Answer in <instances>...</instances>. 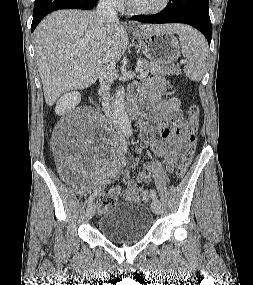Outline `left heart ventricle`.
<instances>
[{"instance_id":"b2bd125f","label":"left heart ventricle","mask_w":253,"mask_h":285,"mask_svg":"<svg viewBox=\"0 0 253 285\" xmlns=\"http://www.w3.org/2000/svg\"><path fill=\"white\" fill-rule=\"evenodd\" d=\"M132 5L138 8H155L161 5L163 0H130Z\"/></svg>"}]
</instances>
